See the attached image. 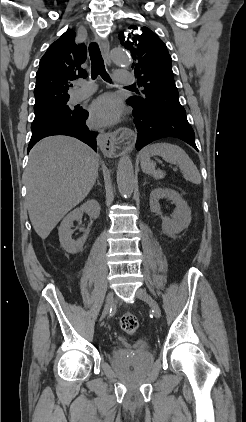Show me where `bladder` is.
I'll list each match as a JSON object with an SVG mask.
<instances>
[{
    "mask_svg": "<svg viewBox=\"0 0 246 422\" xmlns=\"http://www.w3.org/2000/svg\"><path fill=\"white\" fill-rule=\"evenodd\" d=\"M146 357H147V359H148V360H150V361L153 359V357H152L151 355H147Z\"/></svg>",
    "mask_w": 246,
    "mask_h": 422,
    "instance_id": "31cf9c89",
    "label": "bladder"
}]
</instances>
